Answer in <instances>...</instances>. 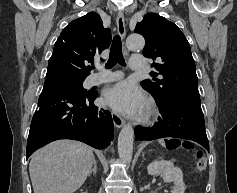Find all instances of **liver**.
<instances>
[{
  "label": "liver",
  "instance_id": "1",
  "mask_svg": "<svg viewBox=\"0 0 237 193\" xmlns=\"http://www.w3.org/2000/svg\"><path fill=\"white\" fill-rule=\"evenodd\" d=\"M93 149L74 140H57L37 150L29 164L34 193H74L94 162Z\"/></svg>",
  "mask_w": 237,
  "mask_h": 193
}]
</instances>
